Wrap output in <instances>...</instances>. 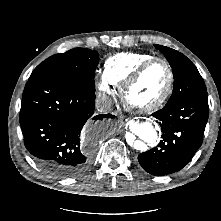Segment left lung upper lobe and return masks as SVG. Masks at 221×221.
Instances as JSON below:
<instances>
[{
  "label": "left lung upper lobe",
  "instance_id": "obj_1",
  "mask_svg": "<svg viewBox=\"0 0 221 221\" xmlns=\"http://www.w3.org/2000/svg\"><path fill=\"white\" fill-rule=\"evenodd\" d=\"M155 46L167 58L173 71L174 89L167 103H174L193 94H207L203 78L186 56L169 47Z\"/></svg>",
  "mask_w": 221,
  "mask_h": 221
}]
</instances>
